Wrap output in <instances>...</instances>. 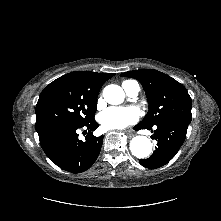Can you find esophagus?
<instances>
[{
    "mask_svg": "<svg viewBox=\"0 0 221 221\" xmlns=\"http://www.w3.org/2000/svg\"><path fill=\"white\" fill-rule=\"evenodd\" d=\"M126 133H127V135H128L130 138L133 137L132 132L127 131Z\"/></svg>",
    "mask_w": 221,
    "mask_h": 221,
    "instance_id": "esophagus-1",
    "label": "esophagus"
}]
</instances>
